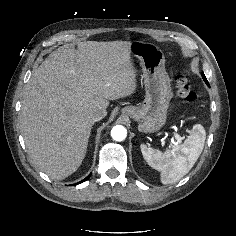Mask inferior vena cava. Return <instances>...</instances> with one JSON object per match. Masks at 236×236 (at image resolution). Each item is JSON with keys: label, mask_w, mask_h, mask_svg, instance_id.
<instances>
[{"label": "inferior vena cava", "mask_w": 236, "mask_h": 236, "mask_svg": "<svg viewBox=\"0 0 236 236\" xmlns=\"http://www.w3.org/2000/svg\"><path fill=\"white\" fill-rule=\"evenodd\" d=\"M106 114H107L106 110L96 108L90 112L89 117L91 118L93 122H96L103 119L106 116Z\"/></svg>", "instance_id": "inferior-vena-cava-1"}]
</instances>
